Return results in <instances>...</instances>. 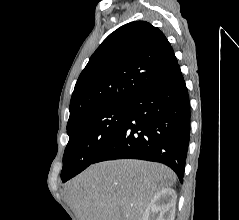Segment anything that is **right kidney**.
Segmentation results:
<instances>
[{"label":"right kidney","instance_id":"right-kidney-1","mask_svg":"<svg viewBox=\"0 0 239 220\" xmlns=\"http://www.w3.org/2000/svg\"><path fill=\"white\" fill-rule=\"evenodd\" d=\"M176 192L164 188L157 192L147 209L143 220H174L176 210Z\"/></svg>","mask_w":239,"mask_h":220}]
</instances>
